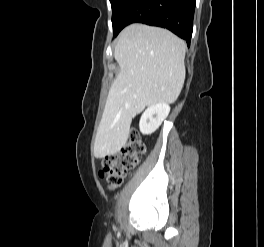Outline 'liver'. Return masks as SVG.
I'll use <instances>...</instances> for the list:
<instances>
[{"mask_svg": "<svg viewBox=\"0 0 264 247\" xmlns=\"http://www.w3.org/2000/svg\"><path fill=\"white\" fill-rule=\"evenodd\" d=\"M185 50V42L166 29L136 23L120 33L114 51L120 72L97 130L96 158L120 151L132 119L146 106L177 100L185 80Z\"/></svg>", "mask_w": 264, "mask_h": 247, "instance_id": "obj_1", "label": "liver"}]
</instances>
